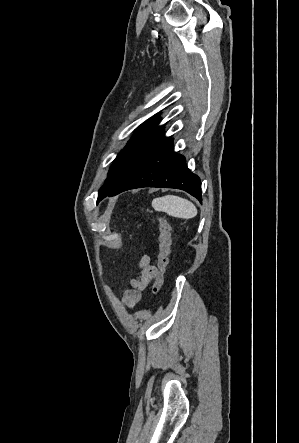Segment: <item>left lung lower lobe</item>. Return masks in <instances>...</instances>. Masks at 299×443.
<instances>
[{
    "instance_id": "0a47b994",
    "label": "left lung lower lobe",
    "mask_w": 299,
    "mask_h": 443,
    "mask_svg": "<svg viewBox=\"0 0 299 443\" xmlns=\"http://www.w3.org/2000/svg\"><path fill=\"white\" fill-rule=\"evenodd\" d=\"M172 150V140H164L131 167L114 187L104 191L97 203L106 196L140 187L181 189L202 201L199 177L187 168L185 158Z\"/></svg>"
}]
</instances>
